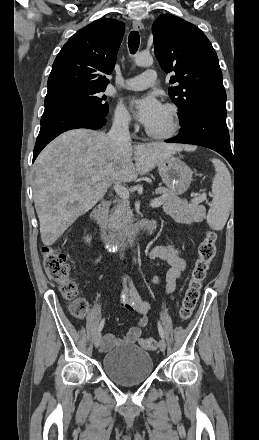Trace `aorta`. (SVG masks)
I'll return each mask as SVG.
<instances>
[{
    "label": "aorta",
    "instance_id": "762f6f07",
    "mask_svg": "<svg viewBox=\"0 0 259 440\" xmlns=\"http://www.w3.org/2000/svg\"><path fill=\"white\" fill-rule=\"evenodd\" d=\"M134 62L140 67H149L153 64V58L147 53H138L135 55Z\"/></svg>",
    "mask_w": 259,
    "mask_h": 440
}]
</instances>
